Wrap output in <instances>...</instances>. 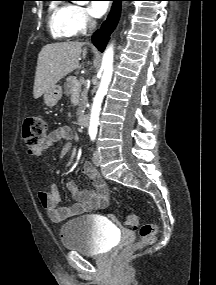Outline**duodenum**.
<instances>
[{"instance_id":"obj_1","label":"duodenum","mask_w":216,"mask_h":285,"mask_svg":"<svg viewBox=\"0 0 216 285\" xmlns=\"http://www.w3.org/2000/svg\"><path fill=\"white\" fill-rule=\"evenodd\" d=\"M78 123L80 126H87L89 123V118L87 114L81 113L78 115Z\"/></svg>"}]
</instances>
